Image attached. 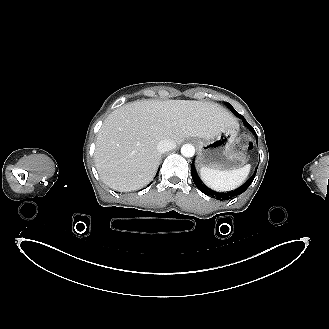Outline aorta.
Returning a JSON list of instances; mask_svg holds the SVG:
<instances>
[{
    "label": "aorta",
    "mask_w": 329,
    "mask_h": 329,
    "mask_svg": "<svg viewBox=\"0 0 329 329\" xmlns=\"http://www.w3.org/2000/svg\"><path fill=\"white\" fill-rule=\"evenodd\" d=\"M181 154L184 157H192L195 154V148L191 144H185L181 147Z\"/></svg>",
    "instance_id": "1"
}]
</instances>
